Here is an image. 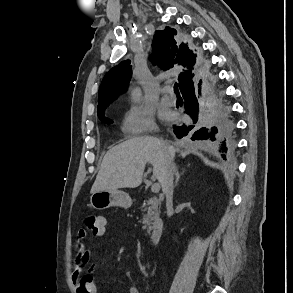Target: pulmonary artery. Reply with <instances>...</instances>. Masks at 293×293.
I'll return each instance as SVG.
<instances>
[{"label":"pulmonary artery","mask_w":293,"mask_h":293,"mask_svg":"<svg viewBox=\"0 0 293 293\" xmlns=\"http://www.w3.org/2000/svg\"><path fill=\"white\" fill-rule=\"evenodd\" d=\"M161 101L164 104H174L176 101V98L173 94L172 88L167 86L163 89L162 91V97H161Z\"/></svg>","instance_id":"1"}]
</instances>
